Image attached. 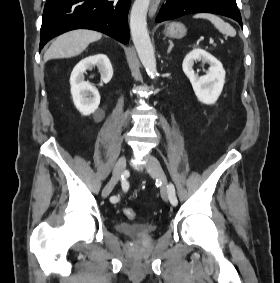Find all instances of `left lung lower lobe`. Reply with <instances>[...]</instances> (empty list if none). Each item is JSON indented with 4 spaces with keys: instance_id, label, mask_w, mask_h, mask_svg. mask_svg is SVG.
Returning a JSON list of instances; mask_svg holds the SVG:
<instances>
[{
    "instance_id": "0a47b994",
    "label": "left lung lower lobe",
    "mask_w": 280,
    "mask_h": 283,
    "mask_svg": "<svg viewBox=\"0 0 280 283\" xmlns=\"http://www.w3.org/2000/svg\"><path fill=\"white\" fill-rule=\"evenodd\" d=\"M199 12L230 17L242 27V19L237 5L227 0H167L155 21L172 20L183 15Z\"/></svg>"
}]
</instances>
